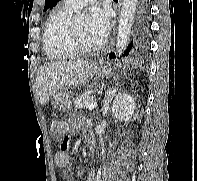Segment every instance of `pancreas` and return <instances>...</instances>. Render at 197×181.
<instances>
[{"instance_id": "obj_1", "label": "pancreas", "mask_w": 197, "mask_h": 181, "mask_svg": "<svg viewBox=\"0 0 197 181\" xmlns=\"http://www.w3.org/2000/svg\"><path fill=\"white\" fill-rule=\"evenodd\" d=\"M95 100V96H91L89 93H84L74 99V105L76 109H83Z\"/></svg>"}]
</instances>
